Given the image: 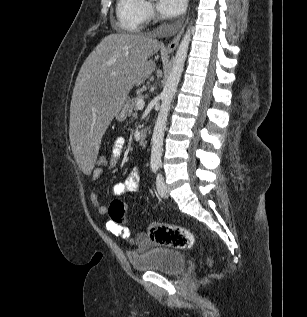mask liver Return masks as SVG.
<instances>
[{
	"instance_id": "6515ba94",
	"label": "liver",
	"mask_w": 307,
	"mask_h": 317,
	"mask_svg": "<svg viewBox=\"0 0 307 317\" xmlns=\"http://www.w3.org/2000/svg\"><path fill=\"white\" fill-rule=\"evenodd\" d=\"M161 43L143 34L112 33L97 45L76 78L70 144L83 175H92L103 134L131 89L153 73Z\"/></svg>"
}]
</instances>
